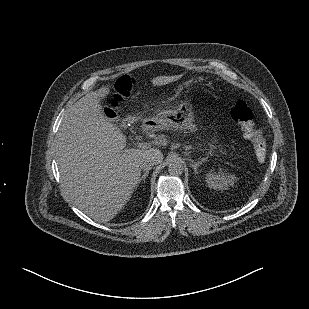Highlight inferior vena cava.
<instances>
[{
    "label": "inferior vena cava",
    "instance_id": "1",
    "mask_svg": "<svg viewBox=\"0 0 309 309\" xmlns=\"http://www.w3.org/2000/svg\"><path fill=\"white\" fill-rule=\"evenodd\" d=\"M154 162L152 160H147L144 161L141 165V169L145 172L149 171L150 169H152V167L154 166Z\"/></svg>",
    "mask_w": 309,
    "mask_h": 309
}]
</instances>
